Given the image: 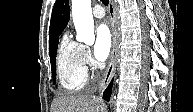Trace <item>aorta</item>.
Here are the masks:
<instances>
[{"label": "aorta", "mask_w": 193, "mask_h": 112, "mask_svg": "<svg viewBox=\"0 0 193 112\" xmlns=\"http://www.w3.org/2000/svg\"><path fill=\"white\" fill-rule=\"evenodd\" d=\"M72 18L77 41L93 44L95 35L91 0H72Z\"/></svg>", "instance_id": "1"}]
</instances>
